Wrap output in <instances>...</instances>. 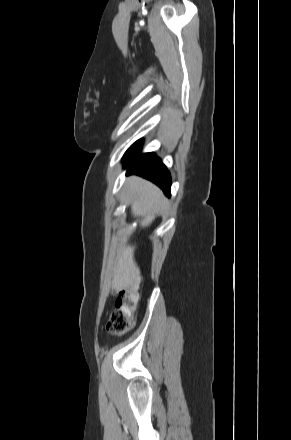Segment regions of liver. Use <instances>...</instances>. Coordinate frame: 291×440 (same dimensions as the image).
<instances>
[{
    "label": "liver",
    "instance_id": "liver-1",
    "mask_svg": "<svg viewBox=\"0 0 291 440\" xmlns=\"http://www.w3.org/2000/svg\"><path fill=\"white\" fill-rule=\"evenodd\" d=\"M127 198L131 201L132 215L141 217V227L149 226L165 204L162 192L154 184L136 176L127 180ZM134 250V246H127L117 255L112 281L117 292L132 285L139 275Z\"/></svg>",
    "mask_w": 291,
    "mask_h": 440
}]
</instances>
